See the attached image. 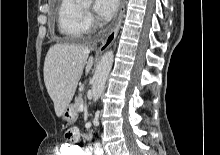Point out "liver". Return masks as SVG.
Returning a JSON list of instances; mask_svg holds the SVG:
<instances>
[{"label": "liver", "mask_w": 220, "mask_h": 155, "mask_svg": "<svg viewBox=\"0 0 220 155\" xmlns=\"http://www.w3.org/2000/svg\"><path fill=\"white\" fill-rule=\"evenodd\" d=\"M90 50L83 46L54 44L44 61V82L54 103L55 113L62 116L71 102L85 67L86 75L93 65Z\"/></svg>", "instance_id": "liver-1"}]
</instances>
